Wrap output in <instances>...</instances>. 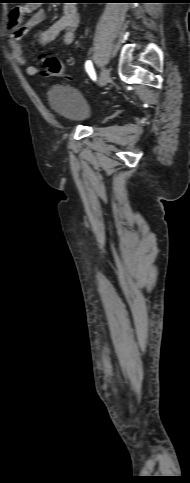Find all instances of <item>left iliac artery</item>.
<instances>
[{
  "instance_id": "obj_1",
  "label": "left iliac artery",
  "mask_w": 190,
  "mask_h": 483,
  "mask_svg": "<svg viewBox=\"0 0 190 483\" xmlns=\"http://www.w3.org/2000/svg\"><path fill=\"white\" fill-rule=\"evenodd\" d=\"M85 68L89 76L92 78V80H96V74L92 65V62L90 60L86 61L85 63Z\"/></svg>"
}]
</instances>
